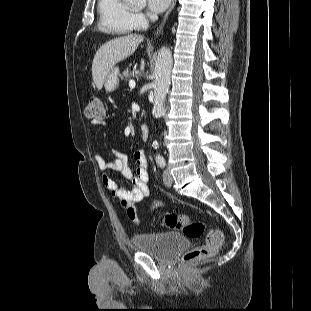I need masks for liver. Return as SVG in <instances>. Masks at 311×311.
Returning a JSON list of instances; mask_svg holds the SVG:
<instances>
[{"label": "liver", "mask_w": 311, "mask_h": 311, "mask_svg": "<svg viewBox=\"0 0 311 311\" xmlns=\"http://www.w3.org/2000/svg\"><path fill=\"white\" fill-rule=\"evenodd\" d=\"M143 40L142 35L131 34L115 38L98 49L92 62V77L98 90L102 89L110 70L132 55Z\"/></svg>", "instance_id": "obj_1"}]
</instances>
